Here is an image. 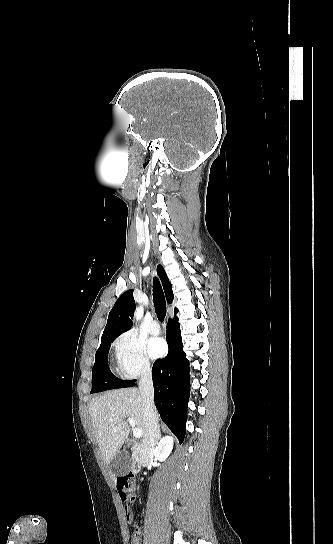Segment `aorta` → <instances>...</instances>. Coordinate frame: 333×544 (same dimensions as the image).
<instances>
[{
  "label": "aorta",
  "instance_id": "obj_1",
  "mask_svg": "<svg viewBox=\"0 0 333 544\" xmlns=\"http://www.w3.org/2000/svg\"><path fill=\"white\" fill-rule=\"evenodd\" d=\"M143 316V308L140 306L136 309V312H135V318L137 320H140Z\"/></svg>",
  "mask_w": 333,
  "mask_h": 544
}]
</instances>
